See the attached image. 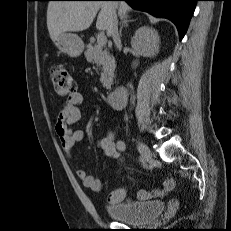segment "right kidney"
Segmentation results:
<instances>
[{"instance_id": "obj_1", "label": "right kidney", "mask_w": 231, "mask_h": 231, "mask_svg": "<svg viewBox=\"0 0 231 231\" xmlns=\"http://www.w3.org/2000/svg\"><path fill=\"white\" fill-rule=\"evenodd\" d=\"M159 42V35L155 29L142 26L136 30L131 46L141 56L154 57L158 53Z\"/></svg>"}]
</instances>
